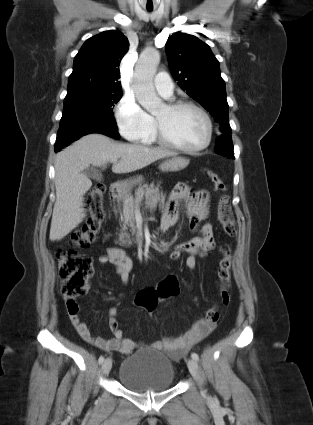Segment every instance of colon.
<instances>
[{
	"label": "colon",
	"instance_id": "1",
	"mask_svg": "<svg viewBox=\"0 0 313 425\" xmlns=\"http://www.w3.org/2000/svg\"><path fill=\"white\" fill-rule=\"evenodd\" d=\"M212 180L214 189L220 193L217 206L218 220L227 236H234L236 233L234 221L230 212V198L227 195V187L223 180L212 170L206 171ZM105 186L96 184L90 192V214L83 227L77 230L70 239L69 248L59 249L57 260L59 266V275L62 279V294L72 308L75 306V300L84 295L88 281L93 274V265L90 257L77 251L78 248L88 247L100 232L105 210L103 206V196ZM212 248L203 250L202 255H208ZM221 259L218 263L217 277L220 283V297L223 305L230 301V268H231V249L228 244H222L219 247ZM180 284L178 279L173 276H167L156 287H151L140 291L135 298L137 306L143 308L146 312L152 313L159 302L179 295ZM220 314L217 309L212 308L206 312L205 321L214 325L218 322Z\"/></svg>",
	"mask_w": 313,
	"mask_h": 425
}]
</instances>
